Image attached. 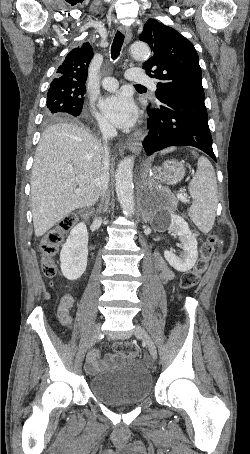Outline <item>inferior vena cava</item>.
<instances>
[{"label":"inferior vena cava","mask_w":250,"mask_h":454,"mask_svg":"<svg viewBox=\"0 0 250 454\" xmlns=\"http://www.w3.org/2000/svg\"><path fill=\"white\" fill-rule=\"evenodd\" d=\"M103 140H104V158L102 162L101 175L99 177V188L102 201H107L108 198V183H109V152L107 147V140L116 137V129L107 122H103L100 126Z\"/></svg>","instance_id":"obj_1"}]
</instances>
